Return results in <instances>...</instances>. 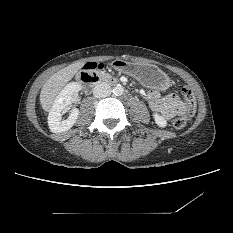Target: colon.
I'll list each match as a JSON object with an SVG mask.
<instances>
[{"instance_id": "5ec220e1", "label": "colon", "mask_w": 233, "mask_h": 233, "mask_svg": "<svg viewBox=\"0 0 233 233\" xmlns=\"http://www.w3.org/2000/svg\"><path fill=\"white\" fill-rule=\"evenodd\" d=\"M104 64L103 63H87L83 66L82 70L85 72H92L94 73L96 70L103 69ZM181 94L184 99V101L187 104V111L185 114L181 115L180 117H177L173 121V125L177 129H182L189 119L193 116L195 105H196V98L193 93V91L188 86H183L181 89Z\"/></svg>"}]
</instances>
